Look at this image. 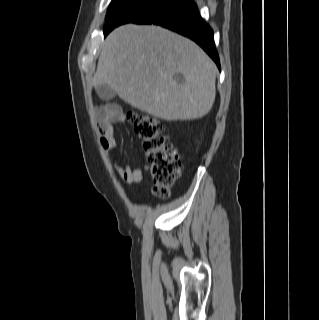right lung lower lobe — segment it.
<instances>
[{"label":"right lung lower lobe","mask_w":319,"mask_h":320,"mask_svg":"<svg viewBox=\"0 0 319 320\" xmlns=\"http://www.w3.org/2000/svg\"><path fill=\"white\" fill-rule=\"evenodd\" d=\"M134 23L161 25L189 37L206 51L220 69L213 30L203 21L193 0H178L169 7L140 17ZM109 32H104V35Z\"/></svg>","instance_id":"98d812e1"}]
</instances>
